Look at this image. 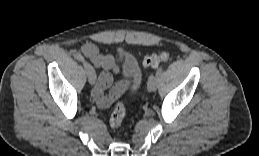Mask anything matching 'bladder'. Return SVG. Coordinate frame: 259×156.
<instances>
[{"instance_id":"obj_1","label":"bladder","mask_w":259,"mask_h":156,"mask_svg":"<svg viewBox=\"0 0 259 156\" xmlns=\"http://www.w3.org/2000/svg\"><path fill=\"white\" fill-rule=\"evenodd\" d=\"M124 72L130 75V85L128 88V93L130 96H132L136 94L142 80L141 70L133 57L127 58L124 65Z\"/></svg>"}]
</instances>
